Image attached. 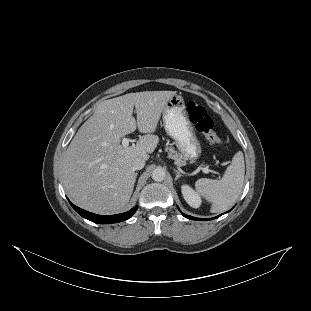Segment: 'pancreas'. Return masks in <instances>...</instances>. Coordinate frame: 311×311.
<instances>
[{
  "mask_svg": "<svg viewBox=\"0 0 311 311\" xmlns=\"http://www.w3.org/2000/svg\"><path fill=\"white\" fill-rule=\"evenodd\" d=\"M169 156L175 160V165L180 166V167L186 166V161L183 160L179 154H175L173 150H170Z\"/></svg>",
  "mask_w": 311,
  "mask_h": 311,
  "instance_id": "pancreas-1",
  "label": "pancreas"
}]
</instances>
